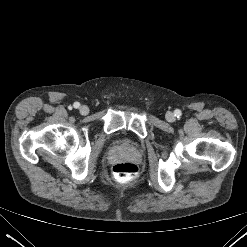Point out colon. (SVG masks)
Returning a JSON list of instances; mask_svg holds the SVG:
<instances>
[{"label":"colon","mask_w":247,"mask_h":247,"mask_svg":"<svg viewBox=\"0 0 247 247\" xmlns=\"http://www.w3.org/2000/svg\"><path fill=\"white\" fill-rule=\"evenodd\" d=\"M114 178L122 183L134 180L138 175V167L130 162H121L113 166Z\"/></svg>","instance_id":"colon-1"}]
</instances>
